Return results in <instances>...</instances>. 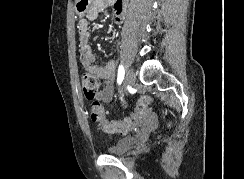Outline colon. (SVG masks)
Segmentation results:
<instances>
[{
    "label": "colon",
    "instance_id": "5ec220e1",
    "mask_svg": "<svg viewBox=\"0 0 244 179\" xmlns=\"http://www.w3.org/2000/svg\"><path fill=\"white\" fill-rule=\"evenodd\" d=\"M82 89L85 97H95L100 87L99 77L93 75L88 71H84L81 77ZM92 95V96H91ZM96 102L95 106L90 107L91 118L95 123H98L102 129L108 133H123L131 130L134 126V120L138 119L139 110H148L149 105H154L153 95H144V98H139V102H133L131 109V115L133 117L125 120H113L109 121L106 118V111L100 102ZM166 125H173V120H166Z\"/></svg>",
    "mask_w": 244,
    "mask_h": 179
}]
</instances>
